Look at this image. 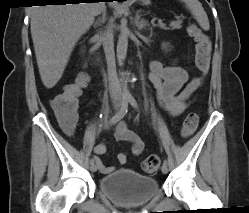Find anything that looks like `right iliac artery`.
<instances>
[{
    "instance_id": "82829eb1",
    "label": "right iliac artery",
    "mask_w": 249,
    "mask_h": 213,
    "mask_svg": "<svg viewBox=\"0 0 249 213\" xmlns=\"http://www.w3.org/2000/svg\"><path fill=\"white\" fill-rule=\"evenodd\" d=\"M127 111H128V100L123 99L120 110L109 120L108 126H112L116 124L118 121H120L126 115ZM93 163L94 159H91L90 164Z\"/></svg>"
}]
</instances>
